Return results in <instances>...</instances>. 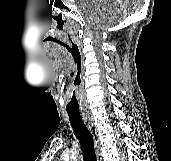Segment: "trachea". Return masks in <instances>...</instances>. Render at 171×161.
<instances>
[{"label":"trachea","mask_w":171,"mask_h":161,"mask_svg":"<svg viewBox=\"0 0 171 161\" xmlns=\"http://www.w3.org/2000/svg\"><path fill=\"white\" fill-rule=\"evenodd\" d=\"M74 134L79 140L85 161H97L91 132L84 124L80 112H68Z\"/></svg>","instance_id":"trachea-1"}]
</instances>
